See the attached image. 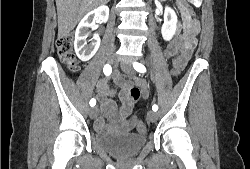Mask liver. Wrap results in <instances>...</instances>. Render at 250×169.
<instances>
[{"label": "liver", "mask_w": 250, "mask_h": 169, "mask_svg": "<svg viewBox=\"0 0 250 169\" xmlns=\"http://www.w3.org/2000/svg\"><path fill=\"white\" fill-rule=\"evenodd\" d=\"M109 0H56L58 14V36H68L85 12L106 4Z\"/></svg>", "instance_id": "obj_1"}]
</instances>
